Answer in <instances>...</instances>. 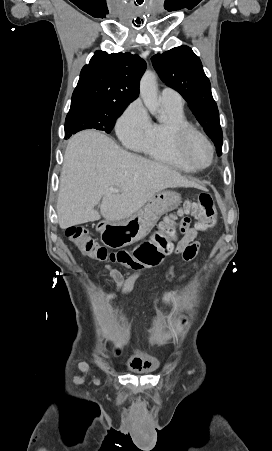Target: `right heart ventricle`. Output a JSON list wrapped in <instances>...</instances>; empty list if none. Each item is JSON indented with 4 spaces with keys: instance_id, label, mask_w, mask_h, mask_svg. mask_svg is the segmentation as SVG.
I'll use <instances>...</instances> for the list:
<instances>
[{
    "instance_id": "e07e8e85",
    "label": "right heart ventricle",
    "mask_w": 272,
    "mask_h": 451,
    "mask_svg": "<svg viewBox=\"0 0 272 451\" xmlns=\"http://www.w3.org/2000/svg\"><path fill=\"white\" fill-rule=\"evenodd\" d=\"M162 104L167 111V121L151 124L145 139L134 146L137 150L142 151L143 153L157 161L164 162L182 169L179 162L176 146L170 140L168 132L170 126L173 123H183L187 125L188 123L183 115L182 110L176 109L163 102Z\"/></svg>"
}]
</instances>
